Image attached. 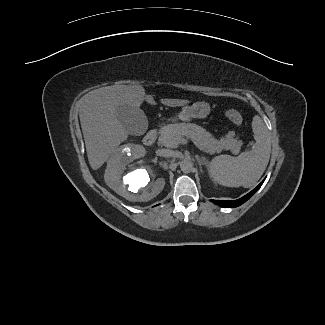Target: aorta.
<instances>
[{
    "mask_svg": "<svg viewBox=\"0 0 325 325\" xmlns=\"http://www.w3.org/2000/svg\"><path fill=\"white\" fill-rule=\"evenodd\" d=\"M180 168H181L182 172L190 173L192 171L193 164H192V162L190 160H183L180 163Z\"/></svg>",
    "mask_w": 325,
    "mask_h": 325,
    "instance_id": "obj_1",
    "label": "aorta"
}]
</instances>
